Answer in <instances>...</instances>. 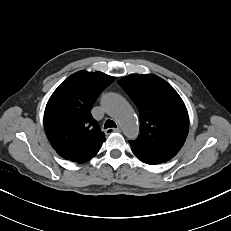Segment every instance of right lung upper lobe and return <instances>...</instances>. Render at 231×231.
<instances>
[{
    "instance_id": "right-lung-upper-lobe-1",
    "label": "right lung upper lobe",
    "mask_w": 231,
    "mask_h": 231,
    "mask_svg": "<svg viewBox=\"0 0 231 231\" xmlns=\"http://www.w3.org/2000/svg\"><path fill=\"white\" fill-rule=\"evenodd\" d=\"M113 81L102 72L79 71L51 95L44 128L52 147L64 159L84 163L100 150L105 135L90 111L98 95Z\"/></svg>"
}]
</instances>
